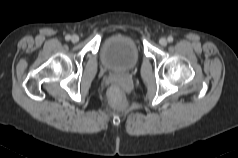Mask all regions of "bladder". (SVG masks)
Wrapping results in <instances>:
<instances>
[{
  "label": "bladder",
  "instance_id": "31cf9c89",
  "mask_svg": "<svg viewBox=\"0 0 238 158\" xmlns=\"http://www.w3.org/2000/svg\"><path fill=\"white\" fill-rule=\"evenodd\" d=\"M139 58L137 43L131 36L112 35L102 44L101 61L111 71H129L138 64Z\"/></svg>",
  "mask_w": 238,
  "mask_h": 158
}]
</instances>
